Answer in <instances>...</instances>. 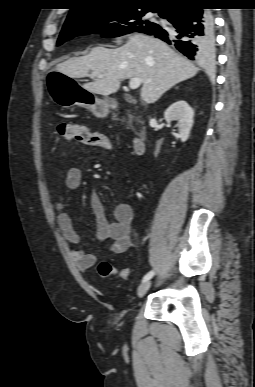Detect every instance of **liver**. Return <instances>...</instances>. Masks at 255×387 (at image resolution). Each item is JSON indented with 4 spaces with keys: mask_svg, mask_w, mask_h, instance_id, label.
Returning <instances> with one entry per match:
<instances>
[{
    "mask_svg": "<svg viewBox=\"0 0 255 387\" xmlns=\"http://www.w3.org/2000/svg\"><path fill=\"white\" fill-rule=\"evenodd\" d=\"M56 68L73 78L90 77L93 81L82 87L105 97L116 93L122 80L140 78L141 98L146 104L155 103L171 87L198 73L195 65L166 43L140 33L130 35L119 48L97 46L89 54L70 58Z\"/></svg>",
    "mask_w": 255,
    "mask_h": 387,
    "instance_id": "6515ba94",
    "label": "liver"
}]
</instances>
